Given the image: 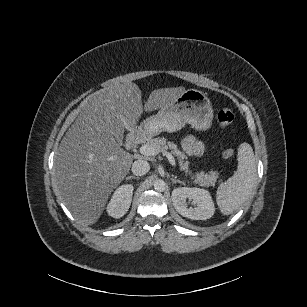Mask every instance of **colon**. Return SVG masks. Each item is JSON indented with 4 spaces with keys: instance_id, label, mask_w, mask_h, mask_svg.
Here are the masks:
<instances>
[{
    "instance_id": "1",
    "label": "colon",
    "mask_w": 307,
    "mask_h": 307,
    "mask_svg": "<svg viewBox=\"0 0 307 307\" xmlns=\"http://www.w3.org/2000/svg\"><path fill=\"white\" fill-rule=\"evenodd\" d=\"M234 120V114L230 109H221L218 113V121L222 127L230 125ZM222 156L224 158H232L234 156L233 148H224L222 150Z\"/></svg>"
}]
</instances>
